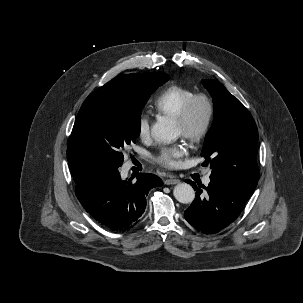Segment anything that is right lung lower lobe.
<instances>
[{
    "instance_id": "obj_1",
    "label": "right lung lower lobe",
    "mask_w": 303,
    "mask_h": 303,
    "mask_svg": "<svg viewBox=\"0 0 303 303\" xmlns=\"http://www.w3.org/2000/svg\"><path fill=\"white\" fill-rule=\"evenodd\" d=\"M75 194L99 223L116 232L132 229L146 207L148 192L162 186L154 174L139 173L136 182L122 180L118 169L94 168L75 179Z\"/></svg>"
}]
</instances>
